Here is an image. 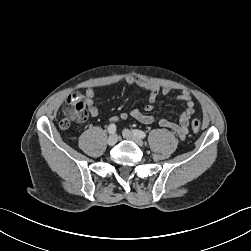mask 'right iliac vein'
<instances>
[{
	"instance_id": "right-iliac-vein-1",
	"label": "right iliac vein",
	"mask_w": 251,
	"mask_h": 251,
	"mask_svg": "<svg viewBox=\"0 0 251 251\" xmlns=\"http://www.w3.org/2000/svg\"><path fill=\"white\" fill-rule=\"evenodd\" d=\"M117 141H118V136L116 134H112V135L109 136L107 142H108L109 145H114V144L117 143Z\"/></svg>"
}]
</instances>
